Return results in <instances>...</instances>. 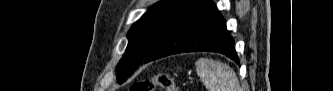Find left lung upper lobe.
<instances>
[{
    "instance_id": "left-lung-upper-lobe-1",
    "label": "left lung upper lobe",
    "mask_w": 333,
    "mask_h": 91,
    "mask_svg": "<svg viewBox=\"0 0 333 91\" xmlns=\"http://www.w3.org/2000/svg\"><path fill=\"white\" fill-rule=\"evenodd\" d=\"M198 0H162L152 6L128 32V46L117 66L122 84L150 55L171 27Z\"/></svg>"
}]
</instances>
